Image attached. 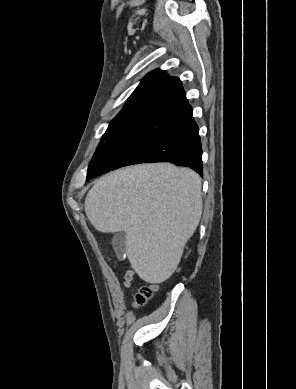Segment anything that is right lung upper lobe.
<instances>
[{"label": "right lung upper lobe", "mask_w": 296, "mask_h": 389, "mask_svg": "<svg viewBox=\"0 0 296 389\" xmlns=\"http://www.w3.org/2000/svg\"><path fill=\"white\" fill-rule=\"evenodd\" d=\"M191 113L181 81L155 70L141 81L114 120L158 115L179 121Z\"/></svg>", "instance_id": "cb5924a9"}]
</instances>
